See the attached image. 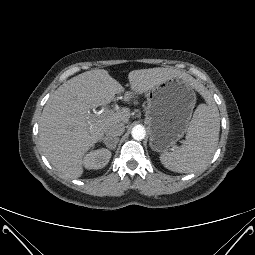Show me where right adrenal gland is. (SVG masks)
<instances>
[{
	"instance_id": "1",
	"label": "right adrenal gland",
	"mask_w": 255,
	"mask_h": 255,
	"mask_svg": "<svg viewBox=\"0 0 255 255\" xmlns=\"http://www.w3.org/2000/svg\"><path fill=\"white\" fill-rule=\"evenodd\" d=\"M102 141L105 143L104 138H102V139L100 140V142H102ZM117 143H118V142H116V143H115L114 145H112V146L106 145V143H105V145H106V147H107L108 149H110V150H115V149H116Z\"/></svg>"
}]
</instances>
